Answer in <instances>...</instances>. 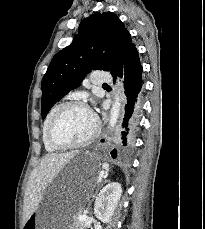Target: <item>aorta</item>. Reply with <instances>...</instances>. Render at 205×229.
I'll list each match as a JSON object with an SVG mask.
<instances>
[{"mask_svg": "<svg viewBox=\"0 0 205 229\" xmlns=\"http://www.w3.org/2000/svg\"><path fill=\"white\" fill-rule=\"evenodd\" d=\"M122 87L121 84H117V92L115 95V100L112 105V108L110 110V117H109V128L110 130H113L116 127L117 120L119 118V113H120V106H121V91Z\"/></svg>", "mask_w": 205, "mask_h": 229, "instance_id": "762f6f07", "label": "aorta"}]
</instances>
